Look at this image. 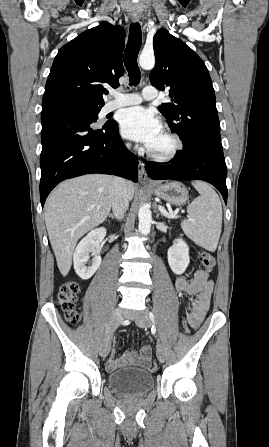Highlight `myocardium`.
I'll list each match as a JSON object with an SVG mask.
<instances>
[{
  "label": "myocardium",
  "mask_w": 269,
  "mask_h": 447,
  "mask_svg": "<svg viewBox=\"0 0 269 447\" xmlns=\"http://www.w3.org/2000/svg\"><path fill=\"white\" fill-rule=\"evenodd\" d=\"M163 129L173 139V142H174L173 148L169 152H167L165 154H161V155L153 154L152 152H150L148 150L147 147L145 149L146 155L151 160L158 162V163H168V162L175 160L184 147V142L178 133H176L172 128H170L168 126L164 127Z\"/></svg>",
  "instance_id": "myocardium-1"
}]
</instances>
